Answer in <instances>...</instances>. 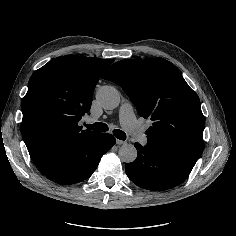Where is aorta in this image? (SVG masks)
<instances>
[{
    "label": "aorta",
    "mask_w": 236,
    "mask_h": 236,
    "mask_svg": "<svg viewBox=\"0 0 236 236\" xmlns=\"http://www.w3.org/2000/svg\"><path fill=\"white\" fill-rule=\"evenodd\" d=\"M98 103L107 110L116 108L120 103V95L116 88L112 86H103L96 93ZM122 162L130 163L137 158V149L128 143H124L118 151Z\"/></svg>",
    "instance_id": "obj_1"
}]
</instances>
